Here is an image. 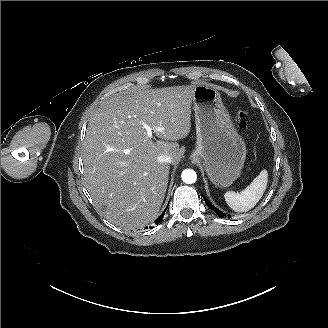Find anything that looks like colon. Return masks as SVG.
<instances>
[{"label":"colon","mask_w":328,"mask_h":328,"mask_svg":"<svg viewBox=\"0 0 328 328\" xmlns=\"http://www.w3.org/2000/svg\"><path fill=\"white\" fill-rule=\"evenodd\" d=\"M247 114L246 112H240L239 113V126L241 129L245 130L248 128V123H247Z\"/></svg>","instance_id":"colon-1"}]
</instances>
